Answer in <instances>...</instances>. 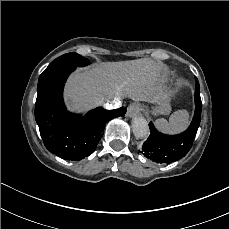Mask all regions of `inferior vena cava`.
<instances>
[{
    "label": "inferior vena cava",
    "instance_id": "1",
    "mask_svg": "<svg viewBox=\"0 0 229 229\" xmlns=\"http://www.w3.org/2000/svg\"><path fill=\"white\" fill-rule=\"evenodd\" d=\"M118 104V101H107L105 104H104V108L107 109V110H112L116 107V105Z\"/></svg>",
    "mask_w": 229,
    "mask_h": 229
}]
</instances>
